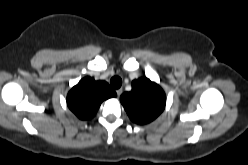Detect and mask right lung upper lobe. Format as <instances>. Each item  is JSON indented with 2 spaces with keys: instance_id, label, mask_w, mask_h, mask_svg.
<instances>
[{
  "instance_id": "1",
  "label": "right lung upper lobe",
  "mask_w": 248,
  "mask_h": 165,
  "mask_svg": "<svg viewBox=\"0 0 248 165\" xmlns=\"http://www.w3.org/2000/svg\"><path fill=\"white\" fill-rule=\"evenodd\" d=\"M116 92L105 81L83 78L67 95L69 109L80 119H91L103 100L115 97Z\"/></svg>"
}]
</instances>
